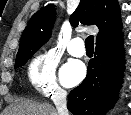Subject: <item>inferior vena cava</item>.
<instances>
[{"label":"inferior vena cava","mask_w":131,"mask_h":115,"mask_svg":"<svg viewBox=\"0 0 131 115\" xmlns=\"http://www.w3.org/2000/svg\"><path fill=\"white\" fill-rule=\"evenodd\" d=\"M66 92L60 91L53 97V102L57 108L58 115H69L67 109Z\"/></svg>","instance_id":"obj_1"}]
</instances>
